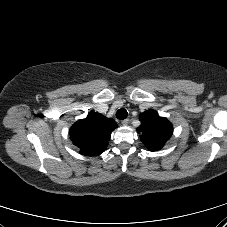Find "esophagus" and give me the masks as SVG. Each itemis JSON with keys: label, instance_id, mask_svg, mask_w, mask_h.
I'll return each mask as SVG.
<instances>
[{"label": "esophagus", "instance_id": "obj_1", "mask_svg": "<svg viewBox=\"0 0 227 227\" xmlns=\"http://www.w3.org/2000/svg\"><path fill=\"white\" fill-rule=\"evenodd\" d=\"M121 123L122 125L127 126L129 124V119H125Z\"/></svg>", "mask_w": 227, "mask_h": 227}]
</instances>
